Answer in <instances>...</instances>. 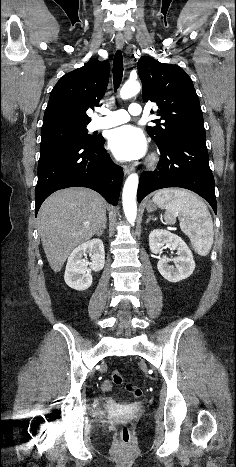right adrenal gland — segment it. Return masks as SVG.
<instances>
[{
  "mask_svg": "<svg viewBox=\"0 0 236 467\" xmlns=\"http://www.w3.org/2000/svg\"><path fill=\"white\" fill-rule=\"evenodd\" d=\"M106 222H107V218H105V220H104L102 226H101V227L99 228V230L97 231V233H96L97 236L102 235L103 230L106 229Z\"/></svg>",
  "mask_w": 236,
  "mask_h": 467,
  "instance_id": "1",
  "label": "right adrenal gland"
}]
</instances>
